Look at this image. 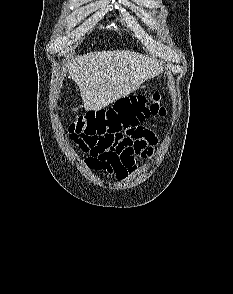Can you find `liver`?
<instances>
[{
    "label": "liver",
    "mask_w": 233,
    "mask_h": 294,
    "mask_svg": "<svg viewBox=\"0 0 233 294\" xmlns=\"http://www.w3.org/2000/svg\"><path fill=\"white\" fill-rule=\"evenodd\" d=\"M66 68L90 111L129 95L163 71L157 60L128 50L90 52L69 60Z\"/></svg>",
    "instance_id": "obj_1"
}]
</instances>
